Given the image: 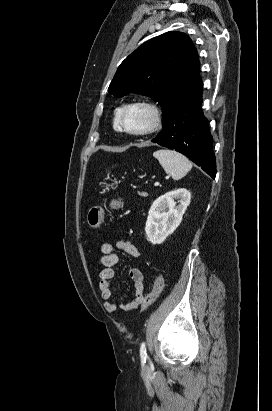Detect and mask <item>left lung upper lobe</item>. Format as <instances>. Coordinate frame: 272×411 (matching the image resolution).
<instances>
[{
    "mask_svg": "<svg viewBox=\"0 0 272 411\" xmlns=\"http://www.w3.org/2000/svg\"><path fill=\"white\" fill-rule=\"evenodd\" d=\"M197 56L186 34L164 33L142 44L120 64L108 91L119 98L133 91L159 102L164 126L203 86Z\"/></svg>",
    "mask_w": 272,
    "mask_h": 411,
    "instance_id": "1",
    "label": "left lung upper lobe"
}]
</instances>
